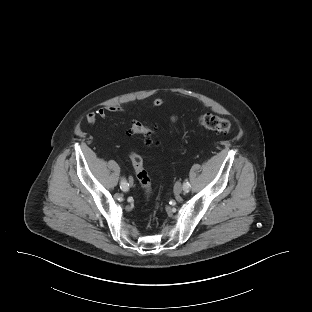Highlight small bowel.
I'll use <instances>...</instances> for the list:
<instances>
[{"instance_id": "1", "label": "small bowel", "mask_w": 312, "mask_h": 312, "mask_svg": "<svg viewBox=\"0 0 312 312\" xmlns=\"http://www.w3.org/2000/svg\"><path fill=\"white\" fill-rule=\"evenodd\" d=\"M165 104L163 98H156L152 101L153 107H160ZM126 112V109L119 105H108L97 109L96 111L89 112L86 116V121L88 124L93 125L98 119H105L108 114H123ZM176 116L171 117L172 122H176Z\"/></svg>"}]
</instances>
